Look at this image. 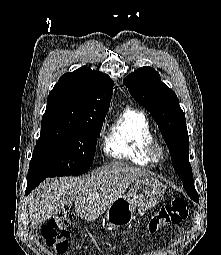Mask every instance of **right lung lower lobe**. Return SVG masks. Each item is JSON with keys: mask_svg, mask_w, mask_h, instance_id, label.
<instances>
[{"mask_svg": "<svg viewBox=\"0 0 221 255\" xmlns=\"http://www.w3.org/2000/svg\"><path fill=\"white\" fill-rule=\"evenodd\" d=\"M45 178H27V188L25 194L28 195L36 186H38Z\"/></svg>", "mask_w": 221, "mask_h": 255, "instance_id": "98d812e1", "label": "right lung lower lobe"}]
</instances>
